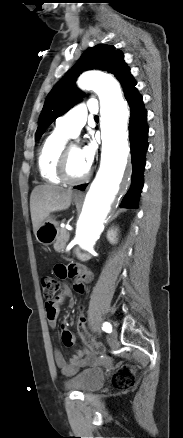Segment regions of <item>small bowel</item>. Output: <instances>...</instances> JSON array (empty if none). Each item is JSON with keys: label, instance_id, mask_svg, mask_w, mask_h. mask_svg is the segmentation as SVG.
Here are the masks:
<instances>
[{"label": "small bowel", "instance_id": "obj_1", "mask_svg": "<svg viewBox=\"0 0 183 438\" xmlns=\"http://www.w3.org/2000/svg\"><path fill=\"white\" fill-rule=\"evenodd\" d=\"M54 272L55 275L61 279L79 276L80 281L74 287V289L78 293H83L85 291V283L90 282L92 279V275L87 268L75 264H58L55 266ZM71 296V288L68 285H64L62 292L55 300L46 302V316L48 323L52 328H55L57 325L60 304L65 299L70 298ZM61 339L63 344L67 347H72L75 344V336L68 329L63 330ZM54 360L57 367L60 369L61 373L64 376H72L80 368L92 363L94 361V356L90 353L88 349L79 348L75 350L69 361L66 362L62 353L59 350H55Z\"/></svg>", "mask_w": 183, "mask_h": 438}]
</instances>
